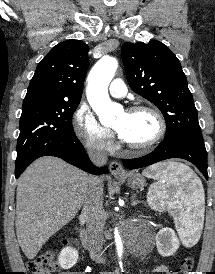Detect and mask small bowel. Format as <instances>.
Returning a JSON list of instances; mask_svg holds the SVG:
<instances>
[{
	"label": "small bowel",
	"mask_w": 215,
	"mask_h": 274,
	"mask_svg": "<svg viewBox=\"0 0 215 274\" xmlns=\"http://www.w3.org/2000/svg\"><path fill=\"white\" fill-rule=\"evenodd\" d=\"M152 272H154V273H160V274H173L170 271L169 267L167 265H165V264H161V265L156 266L152 270ZM62 274H84V273H67V272H64Z\"/></svg>",
	"instance_id": "obj_1"
}]
</instances>
